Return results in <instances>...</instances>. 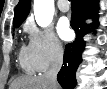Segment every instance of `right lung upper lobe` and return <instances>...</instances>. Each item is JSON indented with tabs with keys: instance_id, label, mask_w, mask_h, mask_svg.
<instances>
[{
	"instance_id": "obj_1",
	"label": "right lung upper lobe",
	"mask_w": 107,
	"mask_h": 89,
	"mask_svg": "<svg viewBox=\"0 0 107 89\" xmlns=\"http://www.w3.org/2000/svg\"><path fill=\"white\" fill-rule=\"evenodd\" d=\"M29 10H30V0H19V3L15 8V15L13 20L14 27H18L22 24V22L29 14Z\"/></svg>"
}]
</instances>
